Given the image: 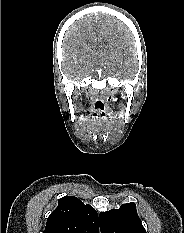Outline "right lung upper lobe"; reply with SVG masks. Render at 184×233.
I'll use <instances>...</instances> for the list:
<instances>
[{"mask_svg":"<svg viewBox=\"0 0 184 233\" xmlns=\"http://www.w3.org/2000/svg\"><path fill=\"white\" fill-rule=\"evenodd\" d=\"M43 233H99L98 214L74 196L59 199Z\"/></svg>","mask_w":184,"mask_h":233,"instance_id":"obj_1","label":"right lung upper lobe"}]
</instances>
